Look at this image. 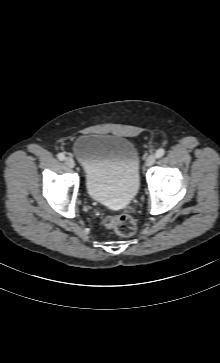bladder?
I'll return each instance as SVG.
<instances>
[{"instance_id": "obj_1", "label": "bladder", "mask_w": 220, "mask_h": 363, "mask_svg": "<svg viewBox=\"0 0 220 363\" xmlns=\"http://www.w3.org/2000/svg\"><path fill=\"white\" fill-rule=\"evenodd\" d=\"M72 151L92 200L124 208L135 198L140 187V158L131 140L117 135H83L75 140Z\"/></svg>"}]
</instances>
